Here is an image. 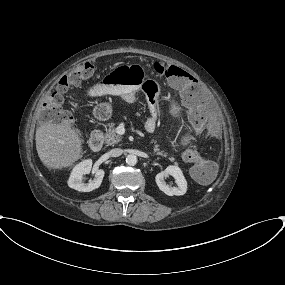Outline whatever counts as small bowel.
I'll use <instances>...</instances> for the list:
<instances>
[{
	"label": "small bowel",
	"mask_w": 285,
	"mask_h": 285,
	"mask_svg": "<svg viewBox=\"0 0 285 285\" xmlns=\"http://www.w3.org/2000/svg\"><path fill=\"white\" fill-rule=\"evenodd\" d=\"M187 83V79L185 77L181 78V84L184 85ZM141 86L139 84H128L124 86H118L113 88H107L104 85L96 86L92 90V95H100V94H114L120 95L125 102L132 104L134 103L136 96L139 92H141ZM146 100L149 107V115L147 121L145 123V131L147 133H152L156 127V118H155V111L157 109V98L147 97ZM176 109L173 108V111Z\"/></svg>",
	"instance_id": "obj_1"
}]
</instances>
